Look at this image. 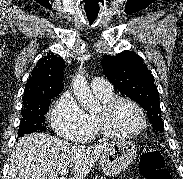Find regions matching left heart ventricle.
Instances as JSON below:
<instances>
[{
  "label": "left heart ventricle",
  "instance_id": "obj_1",
  "mask_svg": "<svg viewBox=\"0 0 183 179\" xmlns=\"http://www.w3.org/2000/svg\"><path fill=\"white\" fill-rule=\"evenodd\" d=\"M100 111V108L97 112ZM107 125L118 133H132L141 125L139 112L129 103L119 104L107 118Z\"/></svg>",
  "mask_w": 183,
  "mask_h": 179
}]
</instances>
